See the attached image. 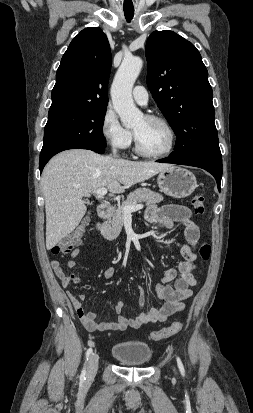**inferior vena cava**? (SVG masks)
I'll list each match as a JSON object with an SVG mask.
<instances>
[{
    "instance_id": "1",
    "label": "inferior vena cava",
    "mask_w": 253,
    "mask_h": 413,
    "mask_svg": "<svg viewBox=\"0 0 253 413\" xmlns=\"http://www.w3.org/2000/svg\"><path fill=\"white\" fill-rule=\"evenodd\" d=\"M113 154L116 155V149H113Z\"/></svg>"
}]
</instances>
